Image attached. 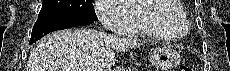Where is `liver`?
I'll return each mask as SVG.
<instances>
[{"label": "liver", "instance_id": "6515ba94", "mask_svg": "<svg viewBox=\"0 0 230 71\" xmlns=\"http://www.w3.org/2000/svg\"><path fill=\"white\" fill-rule=\"evenodd\" d=\"M142 45L90 29L73 28L54 32L32 49L26 71H111L115 50L125 52Z\"/></svg>", "mask_w": 230, "mask_h": 71}]
</instances>
